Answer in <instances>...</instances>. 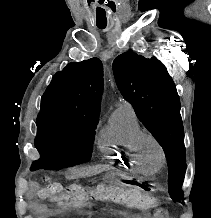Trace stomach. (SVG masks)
<instances>
[{"label":"stomach","mask_w":211,"mask_h":218,"mask_svg":"<svg viewBox=\"0 0 211 218\" xmlns=\"http://www.w3.org/2000/svg\"><path fill=\"white\" fill-rule=\"evenodd\" d=\"M125 178H128L127 176H122V179H125ZM117 182H119V181H117Z\"/></svg>","instance_id":"0dacf381"}]
</instances>
